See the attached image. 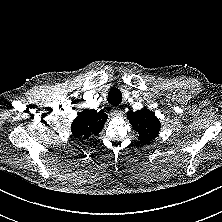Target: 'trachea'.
Masks as SVG:
<instances>
[{
  "label": "trachea",
  "instance_id": "obj_1",
  "mask_svg": "<svg viewBox=\"0 0 222 222\" xmlns=\"http://www.w3.org/2000/svg\"><path fill=\"white\" fill-rule=\"evenodd\" d=\"M107 100L111 105L118 106L122 102L121 91L118 88H111Z\"/></svg>",
  "mask_w": 222,
  "mask_h": 222
}]
</instances>
